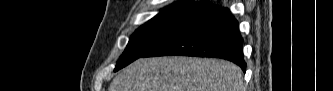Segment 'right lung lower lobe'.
Wrapping results in <instances>:
<instances>
[{
	"mask_svg": "<svg viewBox=\"0 0 333 91\" xmlns=\"http://www.w3.org/2000/svg\"><path fill=\"white\" fill-rule=\"evenodd\" d=\"M181 55L222 58L239 65L245 72L242 37L232 14L210 6L142 57Z\"/></svg>",
	"mask_w": 333,
	"mask_h": 91,
	"instance_id": "98d812e1",
	"label": "right lung lower lobe"
}]
</instances>
